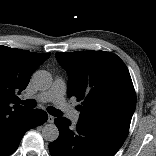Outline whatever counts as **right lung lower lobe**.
Instances as JSON below:
<instances>
[{
    "mask_svg": "<svg viewBox=\"0 0 156 156\" xmlns=\"http://www.w3.org/2000/svg\"><path fill=\"white\" fill-rule=\"evenodd\" d=\"M40 109H26L0 114V156L13 153L26 131L47 121Z\"/></svg>",
    "mask_w": 156,
    "mask_h": 156,
    "instance_id": "obj_1",
    "label": "right lung lower lobe"
}]
</instances>
